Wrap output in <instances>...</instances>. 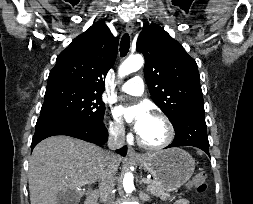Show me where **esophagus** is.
Listing matches in <instances>:
<instances>
[{
  "label": "esophagus",
  "instance_id": "obj_1",
  "mask_svg": "<svg viewBox=\"0 0 253 204\" xmlns=\"http://www.w3.org/2000/svg\"><path fill=\"white\" fill-rule=\"evenodd\" d=\"M133 28H134V23L132 21L127 22V24H126V31L129 34H131L133 32ZM127 155L130 158H139L140 157L132 147L128 148Z\"/></svg>",
  "mask_w": 253,
  "mask_h": 204
}]
</instances>
